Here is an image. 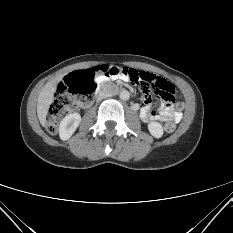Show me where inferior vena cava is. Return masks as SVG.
<instances>
[{
	"label": "inferior vena cava",
	"instance_id": "inferior-vena-cava-1",
	"mask_svg": "<svg viewBox=\"0 0 233 233\" xmlns=\"http://www.w3.org/2000/svg\"><path fill=\"white\" fill-rule=\"evenodd\" d=\"M112 95H113V92H112V91H109V92H107L106 94H100V95L98 96V100H101V99L106 98V97H110V96H112Z\"/></svg>",
	"mask_w": 233,
	"mask_h": 233
}]
</instances>
